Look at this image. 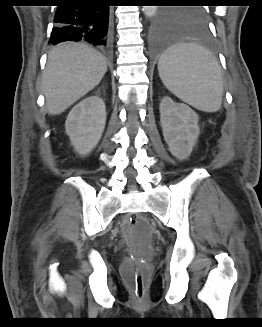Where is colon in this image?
Segmentation results:
<instances>
[{
	"label": "colon",
	"instance_id": "5ec220e1",
	"mask_svg": "<svg viewBox=\"0 0 262 327\" xmlns=\"http://www.w3.org/2000/svg\"><path fill=\"white\" fill-rule=\"evenodd\" d=\"M124 230L129 239L138 246L146 247L148 245L151 229L148 222L142 217H132L125 224ZM125 275L129 281L134 296L138 301H142L146 292V276L148 267L138 257L133 262H129L124 266Z\"/></svg>",
	"mask_w": 262,
	"mask_h": 327
}]
</instances>
